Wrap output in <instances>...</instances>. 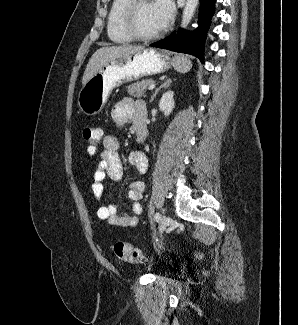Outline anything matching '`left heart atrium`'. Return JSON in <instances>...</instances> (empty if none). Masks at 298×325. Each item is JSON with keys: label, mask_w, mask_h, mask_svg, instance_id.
I'll return each instance as SVG.
<instances>
[{"label": "left heart atrium", "mask_w": 298, "mask_h": 325, "mask_svg": "<svg viewBox=\"0 0 298 325\" xmlns=\"http://www.w3.org/2000/svg\"><path fill=\"white\" fill-rule=\"evenodd\" d=\"M158 5H159L162 26L163 28H165L173 17L174 6L168 0L161 1L160 3H158Z\"/></svg>", "instance_id": "39dd6f15"}]
</instances>
